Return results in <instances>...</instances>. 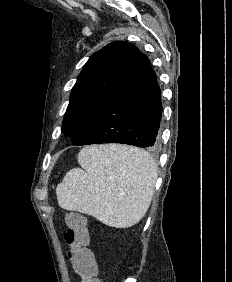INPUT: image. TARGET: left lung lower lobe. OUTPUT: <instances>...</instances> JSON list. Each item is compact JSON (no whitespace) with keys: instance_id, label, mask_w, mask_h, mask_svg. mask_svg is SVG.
<instances>
[{"instance_id":"obj_1","label":"left lung lower lobe","mask_w":232,"mask_h":282,"mask_svg":"<svg viewBox=\"0 0 232 282\" xmlns=\"http://www.w3.org/2000/svg\"><path fill=\"white\" fill-rule=\"evenodd\" d=\"M162 116L161 92L149 59L142 55L131 75L101 108L86 142L156 147Z\"/></svg>"}]
</instances>
